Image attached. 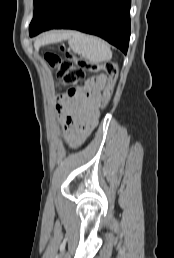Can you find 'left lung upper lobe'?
<instances>
[{
    "mask_svg": "<svg viewBox=\"0 0 174 258\" xmlns=\"http://www.w3.org/2000/svg\"><path fill=\"white\" fill-rule=\"evenodd\" d=\"M58 0H34V15L29 26V33L37 29Z\"/></svg>",
    "mask_w": 174,
    "mask_h": 258,
    "instance_id": "5c2ea615",
    "label": "left lung upper lobe"
}]
</instances>
